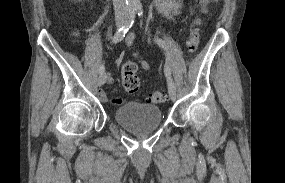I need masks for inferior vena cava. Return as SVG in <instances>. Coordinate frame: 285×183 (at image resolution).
<instances>
[{"label":"inferior vena cava","instance_id":"obj_1","mask_svg":"<svg viewBox=\"0 0 285 183\" xmlns=\"http://www.w3.org/2000/svg\"><path fill=\"white\" fill-rule=\"evenodd\" d=\"M115 16L117 18H124L129 15V8L126 0H113Z\"/></svg>","mask_w":285,"mask_h":183}]
</instances>
